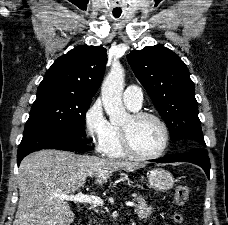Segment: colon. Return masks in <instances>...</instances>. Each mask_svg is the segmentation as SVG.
<instances>
[{
    "mask_svg": "<svg viewBox=\"0 0 228 225\" xmlns=\"http://www.w3.org/2000/svg\"><path fill=\"white\" fill-rule=\"evenodd\" d=\"M190 190L186 184H180L175 190V199L178 207H182L188 199ZM173 222L175 225H184L185 220L182 212L177 210L173 214Z\"/></svg>",
    "mask_w": 228,
    "mask_h": 225,
    "instance_id": "obj_1",
    "label": "colon"
}]
</instances>
